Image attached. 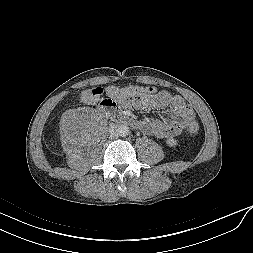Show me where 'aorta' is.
<instances>
[{
  "mask_svg": "<svg viewBox=\"0 0 253 253\" xmlns=\"http://www.w3.org/2000/svg\"><path fill=\"white\" fill-rule=\"evenodd\" d=\"M115 132L117 135L121 136V137H125L129 134V127L127 125H118L115 128Z\"/></svg>",
  "mask_w": 253,
  "mask_h": 253,
  "instance_id": "1",
  "label": "aorta"
}]
</instances>
